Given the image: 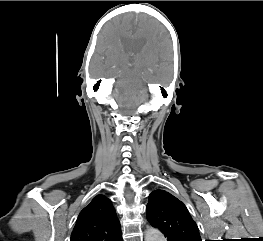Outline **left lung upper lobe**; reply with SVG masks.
<instances>
[{
	"instance_id": "obj_1",
	"label": "left lung upper lobe",
	"mask_w": 263,
	"mask_h": 241,
	"mask_svg": "<svg viewBox=\"0 0 263 241\" xmlns=\"http://www.w3.org/2000/svg\"><path fill=\"white\" fill-rule=\"evenodd\" d=\"M147 220L164 235L177 241H202L198 227L186 206L167 191L157 189L149 195Z\"/></svg>"
}]
</instances>
